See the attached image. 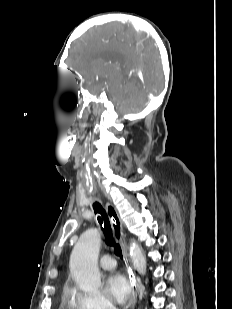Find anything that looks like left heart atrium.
<instances>
[{
    "instance_id": "obj_1",
    "label": "left heart atrium",
    "mask_w": 232,
    "mask_h": 309,
    "mask_svg": "<svg viewBox=\"0 0 232 309\" xmlns=\"http://www.w3.org/2000/svg\"><path fill=\"white\" fill-rule=\"evenodd\" d=\"M107 289L114 301L123 305L130 301L131 285L121 272H113L107 278Z\"/></svg>"
}]
</instances>
